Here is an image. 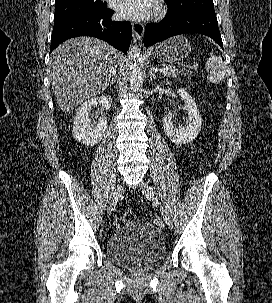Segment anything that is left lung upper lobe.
I'll return each instance as SVG.
<instances>
[{"label": "left lung upper lobe", "mask_w": 272, "mask_h": 303, "mask_svg": "<svg viewBox=\"0 0 272 303\" xmlns=\"http://www.w3.org/2000/svg\"><path fill=\"white\" fill-rule=\"evenodd\" d=\"M165 2L169 8V16L186 12L214 11L213 0H165Z\"/></svg>", "instance_id": "5c2ea615"}]
</instances>
